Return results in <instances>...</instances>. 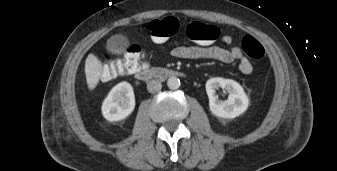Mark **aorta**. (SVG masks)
<instances>
[{"mask_svg": "<svg viewBox=\"0 0 337 171\" xmlns=\"http://www.w3.org/2000/svg\"><path fill=\"white\" fill-rule=\"evenodd\" d=\"M167 86L171 90H176L180 86V80L177 77L172 76L167 80Z\"/></svg>", "mask_w": 337, "mask_h": 171, "instance_id": "obj_1", "label": "aorta"}]
</instances>
